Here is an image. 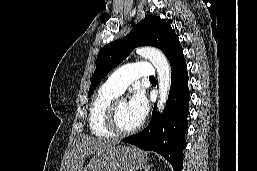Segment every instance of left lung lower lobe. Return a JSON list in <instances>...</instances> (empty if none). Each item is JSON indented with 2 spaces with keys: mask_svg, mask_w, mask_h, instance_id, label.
<instances>
[{
  "mask_svg": "<svg viewBox=\"0 0 257 171\" xmlns=\"http://www.w3.org/2000/svg\"><path fill=\"white\" fill-rule=\"evenodd\" d=\"M169 62L171 88L163 113L160 115L154 108L149 125L142 132L122 141L143 150L155 151L170 162L174 171H182L190 100L187 65L182 48L169 57Z\"/></svg>",
  "mask_w": 257,
  "mask_h": 171,
  "instance_id": "0a47b994",
  "label": "left lung lower lobe"
}]
</instances>
